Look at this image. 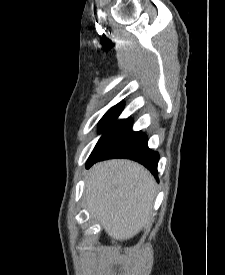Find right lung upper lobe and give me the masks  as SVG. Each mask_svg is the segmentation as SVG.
Wrapping results in <instances>:
<instances>
[{
  "instance_id": "cb5924a9",
  "label": "right lung upper lobe",
  "mask_w": 225,
  "mask_h": 275,
  "mask_svg": "<svg viewBox=\"0 0 225 275\" xmlns=\"http://www.w3.org/2000/svg\"><path fill=\"white\" fill-rule=\"evenodd\" d=\"M124 104L119 103L112 107L104 116H118L123 109Z\"/></svg>"
}]
</instances>
